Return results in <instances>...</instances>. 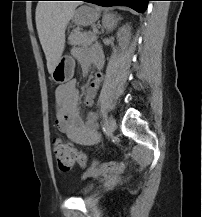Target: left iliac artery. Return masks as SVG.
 <instances>
[{"label": "left iliac artery", "instance_id": "left-iliac-artery-1", "mask_svg": "<svg viewBox=\"0 0 202 217\" xmlns=\"http://www.w3.org/2000/svg\"><path fill=\"white\" fill-rule=\"evenodd\" d=\"M105 113H103V120L101 121V127H102V130L103 132H106V128H105Z\"/></svg>", "mask_w": 202, "mask_h": 217}]
</instances>
